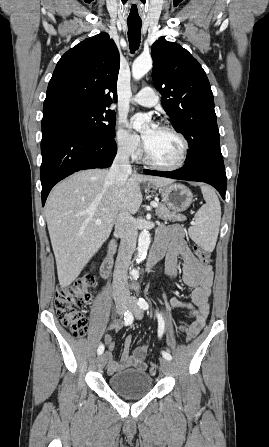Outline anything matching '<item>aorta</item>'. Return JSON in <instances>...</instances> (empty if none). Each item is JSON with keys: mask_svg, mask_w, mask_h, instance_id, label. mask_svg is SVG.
Returning a JSON list of instances; mask_svg holds the SVG:
<instances>
[{"mask_svg": "<svg viewBox=\"0 0 269 447\" xmlns=\"http://www.w3.org/2000/svg\"><path fill=\"white\" fill-rule=\"evenodd\" d=\"M152 58L151 56H139L137 60H134L132 64V76L134 80H141L149 70H152ZM133 128L134 130H139V132H143V130H148L149 122H151V116L149 114H135L133 116ZM151 237L149 231H141L138 239V259L137 261H141L144 255L147 253V249L150 245ZM131 275H133L134 279L139 277L138 269H132Z\"/></svg>", "mask_w": 269, "mask_h": 447, "instance_id": "1", "label": "aorta"}]
</instances>
